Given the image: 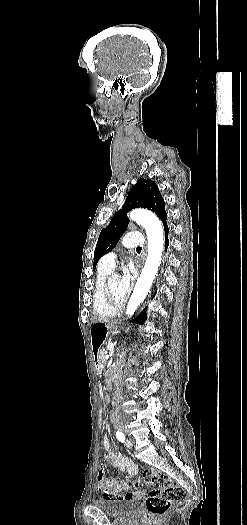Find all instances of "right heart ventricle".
Segmentation results:
<instances>
[{
  "label": "right heart ventricle",
  "mask_w": 247,
  "mask_h": 525,
  "mask_svg": "<svg viewBox=\"0 0 247 525\" xmlns=\"http://www.w3.org/2000/svg\"><path fill=\"white\" fill-rule=\"evenodd\" d=\"M106 255L100 260V265L96 278V285L92 296L94 317H114L115 310L108 307L101 294V288L108 277L113 274V266L106 265ZM116 277L115 275L112 279Z\"/></svg>",
  "instance_id": "e07e8e85"
}]
</instances>
